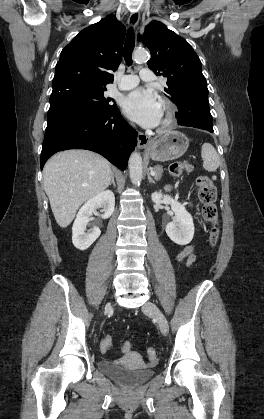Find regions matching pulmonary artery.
Returning <instances> with one entry per match:
<instances>
[{
  "label": "pulmonary artery",
  "instance_id": "pulmonary-artery-1",
  "mask_svg": "<svg viewBox=\"0 0 264 419\" xmlns=\"http://www.w3.org/2000/svg\"><path fill=\"white\" fill-rule=\"evenodd\" d=\"M140 79L144 81H151L153 80V74L152 71L148 68H143L140 71L139 76L135 74H128L124 75L121 78V83L119 84L118 88L120 90H129L134 88L138 85Z\"/></svg>",
  "mask_w": 264,
  "mask_h": 419
}]
</instances>
